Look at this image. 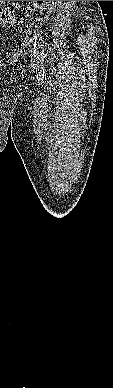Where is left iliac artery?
I'll return each instance as SVG.
<instances>
[{
	"instance_id": "left-iliac-artery-1",
	"label": "left iliac artery",
	"mask_w": 113,
	"mask_h": 388,
	"mask_svg": "<svg viewBox=\"0 0 113 388\" xmlns=\"http://www.w3.org/2000/svg\"><path fill=\"white\" fill-rule=\"evenodd\" d=\"M35 38V43H34V48L39 53V50L42 48V37L39 32L35 33L34 35Z\"/></svg>"
}]
</instances>
